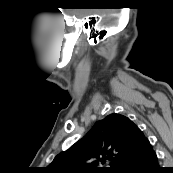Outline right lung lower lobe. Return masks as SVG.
I'll return each mask as SVG.
<instances>
[{"instance_id":"98d812e1","label":"right lung lower lobe","mask_w":173,"mask_h":173,"mask_svg":"<svg viewBox=\"0 0 173 173\" xmlns=\"http://www.w3.org/2000/svg\"><path fill=\"white\" fill-rule=\"evenodd\" d=\"M152 146L127 160L118 173H163Z\"/></svg>"}]
</instances>
